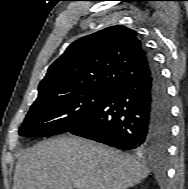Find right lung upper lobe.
Returning a JSON list of instances; mask_svg holds the SVG:
<instances>
[{
    "instance_id": "cb5924a9",
    "label": "right lung upper lobe",
    "mask_w": 188,
    "mask_h": 189,
    "mask_svg": "<svg viewBox=\"0 0 188 189\" xmlns=\"http://www.w3.org/2000/svg\"><path fill=\"white\" fill-rule=\"evenodd\" d=\"M149 72L148 53L137 33L111 26L74 41L48 69L38 96L91 88L114 90Z\"/></svg>"
}]
</instances>
